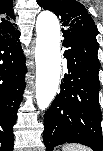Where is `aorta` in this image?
<instances>
[{
  "instance_id": "aorta-1",
  "label": "aorta",
  "mask_w": 103,
  "mask_h": 151,
  "mask_svg": "<svg viewBox=\"0 0 103 151\" xmlns=\"http://www.w3.org/2000/svg\"><path fill=\"white\" fill-rule=\"evenodd\" d=\"M36 101L47 109L59 86L61 71L60 24L52 12H41L36 21Z\"/></svg>"
}]
</instances>
